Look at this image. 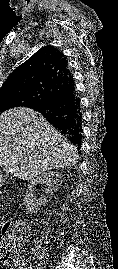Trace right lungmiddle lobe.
<instances>
[{
	"label": "right lung middle lobe",
	"instance_id": "1",
	"mask_svg": "<svg viewBox=\"0 0 118 269\" xmlns=\"http://www.w3.org/2000/svg\"><path fill=\"white\" fill-rule=\"evenodd\" d=\"M38 99L30 95H4L0 97V113L14 107H29Z\"/></svg>",
	"mask_w": 118,
	"mask_h": 269
}]
</instances>
